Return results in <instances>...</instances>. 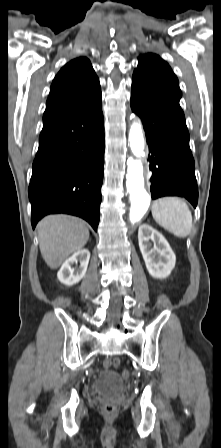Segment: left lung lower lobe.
I'll use <instances>...</instances> for the list:
<instances>
[{"label": "left lung lower lobe", "mask_w": 221, "mask_h": 448, "mask_svg": "<svg viewBox=\"0 0 221 448\" xmlns=\"http://www.w3.org/2000/svg\"><path fill=\"white\" fill-rule=\"evenodd\" d=\"M131 108L141 118L149 144L152 199L180 196L196 207L198 187L185 117L133 89Z\"/></svg>", "instance_id": "left-lung-lower-lobe-1"}]
</instances>
